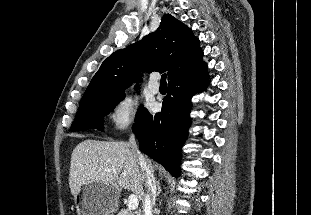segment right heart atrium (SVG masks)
<instances>
[{"mask_svg":"<svg viewBox=\"0 0 311 215\" xmlns=\"http://www.w3.org/2000/svg\"><path fill=\"white\" fill-rule=\"evenodd\" d=\"M139 110L138 102L131 95L122 97L109 114V120L115 132L131 129L137 119Z\"/></svg>","mask_w":311,"mask_h":215,"instance_id":"1","label":"right heart atrium"}]
</instances>
